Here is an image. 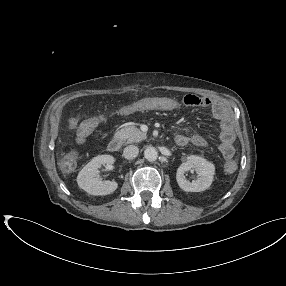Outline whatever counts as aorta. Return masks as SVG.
<instances>
[{"instance_id":"obj_1","label":"aorta","mask_w":286,"mask_h":286,"mask_svg":"<svg viewBox=\"0 0 286 286\" xmlns=\"http://www.w3.org/2000/svg\"><path fill=\"white\" fill-rule=\"evenodd\" d=\"M144 157L148 161H155L158 157V152L154 147H147L144 151Z\"/></svg>"}]
</instances>
